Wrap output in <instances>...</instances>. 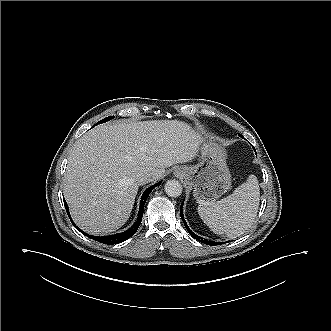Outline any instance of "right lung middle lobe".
<instances>
[{
    "label": "right lung middle lobe",
    "instance_id": "right-lung-middle-lobe-1",
    "mask_svg": "<svg viewBox=\"0 0 331 331\" xmlns=\"http://www.w3.org/2000/svg\"><path fill=\"white\" fill-rule=\"evenodd\" d=\"M113 118H114V116H110V117L104 118L103 120L99 121L97 124H101V123L107 122L108 120L113 119Z\"/></svg>",
    "mask_w": 331,
    "mask_h": 331
}]
</instances>
